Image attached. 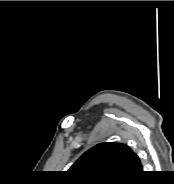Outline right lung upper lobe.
I'll use <instances>...</instances> for the list:
<instances>
[{"label": "right lung upper lobe", "instance_id": "obj_1", "mask_svg": "<svg viewBox=\"0 0 174 184\" xmlns=\"http://www.w3.org/2000/svg\"><path fill=\"white\" fill-rule=\"evenodd\" d=\"M82 182L118 183L142 171L139 157L125 144L101 143L84 153L68 170Z\"/></svg>", "mask_w": 174, "mask_h": 184}]
</instances>
